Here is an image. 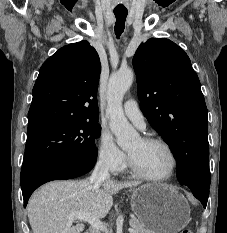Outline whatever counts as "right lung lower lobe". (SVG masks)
I'll return each instance as SVG.
<instances>
[{"mask_svg":"<svg viewBox=\"0 0 227 233\" xmlns=\"http://www.w3.org/2000/svg\"><path fill=\"white\" fill-rule=\"evenodd\" d=\"M95 159L82 161L73 158L57 157L40 160L21 171V189L24 207L35 189L40 185L57 179H71L91 171Z\"/></svg>","mask_w":227,"mask_h":233,"instance_id":"98d812e1","label":"right lung lower lobe"}]
</instances>
